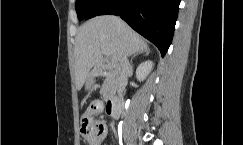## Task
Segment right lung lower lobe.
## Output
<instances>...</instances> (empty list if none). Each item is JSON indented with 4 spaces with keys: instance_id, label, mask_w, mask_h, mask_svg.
Returning <instances> with one entry per match:
<instances>
[{
    "instance_id": "98d812e1",
    "label": "right lung lower lobe",
    "mask_w": 243,
    "mask_h": 145,
    "mask_svg": "<svg viewBox=\"0 0 243 145\" xmlns=\"http://www.w3.org/2000/svg\"><path fill=\"white\" fill-rule=\"evenodd\" d=\"M181 0H102L84 19L98 15H119L134 30L153 42L162 57L174 33Z\"/></svg>"
}]
</instances>
